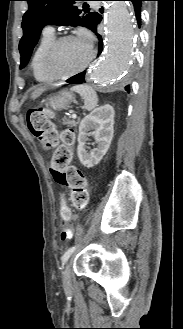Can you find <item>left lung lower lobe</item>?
Masks as SVG:
<instances>
[{"mask_svg":"<svg viewBox=\"0 0 183 329\" xmlns=\"http://www.w3.org/2000/svg\"><path fill=\"white\" fill-rule=\"evenodd\" d=\"M129 1H131L134 5L136 19H137L138 25L140 26L141 25V3H142V1H145V0H129ZM101 12H103V11H101ZM100 21H101V17H99V15H96L95 23L91 29L97 35V37L99 39L98 55H100L103 50V39H102L101 35H99L97 33V24ZM85 73L86 72L83 71L79 74H76V75L72 76L71 78H69L66 82L70 83V84H82L85 82ZM125 90L127 92H130V86L127 85L125 87Z\"/></svg>","mask_w":183,"mask_h":329,"instance_id":"0a47b994","label":"left lung lower lobe"}]
</instances>
